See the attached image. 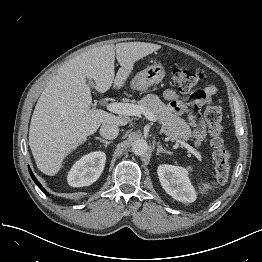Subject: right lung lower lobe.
<instances>
[{
    "label": "right lung lower lobe",
    "mask_w": 262,
    "mask_h": 262,
    "mask_svg": "<svg viewBox=\"0 0 262 262\" xmlns=\"http://www.w3.org/2000/svg\"><path fill=\"white\" fill-rule=\"evenodd\" d=\"M29 172H30V175L32 177V179L34 180V182L37 184V186L45 193L47 194V192L45 191V189L41 186V184L39 183V181L35 178V176L33 175L31 169L29 168Z\"/></svg>",
    "instance_id": "1"
}]
</instances>
